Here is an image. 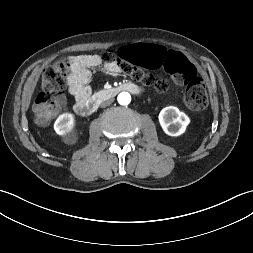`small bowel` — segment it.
<instances>
[{
  "mask_svg": "<svg viewBox=\"0 0 253 253\" xmlns=\"http://www.w3.org/2000/svg\"><path fill=\"white\" fill-rule=\"evenodd\" d=\"M143 44V43H142ZM129 47V46H128ZM70 72L67 76V83L70 93L76 102L84 100L91 95V69L103 64L97 55H75L70 59ZM104 69L110 74H117L120 68L116 63H104Z\"/></svg>",
  "mask_w": 253,
  "mask_h": 253,
  "instance_id": "small-bowel-1",
  "label": "small bowel"
}]
</instances>
